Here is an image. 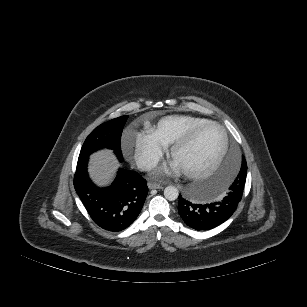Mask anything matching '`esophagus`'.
<instances>
[{
  "label": "esophagus",
  "instance_id": "obj_1",
  "mask_svg": "<svg viewBox=\"0 0 307 307\" xmlns=\"http://www.w3.org/2000/svg\"><path fill=\"white\" fill-rule=\"evenodd\" d=\"M148 187H149L150 189H161V188H162V186H161L160 184H158V183H153V182H149V183H148Z\"/></svg>",
  "mask_w": 307,
  "mask_h": 307
}]
</instances>
